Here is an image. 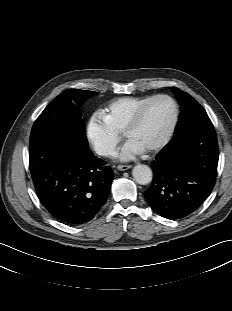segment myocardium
<instances>
[{"label": "myocardium", "instance_id": "myocardium-1", "mask_svg": "<svg viewBox=\"0 0 232 311\" xmlns=\"http://www.w3.org/2000/svg\"><path fill=\"white\" fill-rule=\"evenodd\" d=\"M160 99L168 100L172 104L173 111H174L173 117H172L171 123H170L168 129L166 130L165 134L161 137V139L159 141H157L155 144H153L152 146L145 149L146 152H154V151H157V150L161 149L162 147H164L167 144V142L170 140L171 136L173 135V133L175 131V128L177 126L178 119H179V108H178L176 101L171 96L165 95V94H160V95H155V96H152L151 98H149L146 102H144L136 110V112L134 113V115L132 116V118L130 119V121L128 122L127 126L125 127V129L123 131L124 137L128 138V135L141 122L147 108L153 102L160 100Z\"/></svg>", "mask_w": 232, "mask_h": 311}]
</instances>
